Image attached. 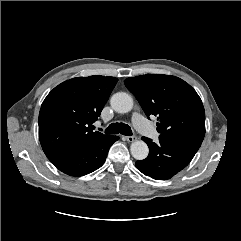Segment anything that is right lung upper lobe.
Here are the masks:
<instances>
[{
    "label": "right lung upper lobe",
    "instance_id": "cb5924a9",
    "mask_svg": "<svg viewBox=\"0 0 241 241\" xmlns=\"http://www.w3.org/2000/svg\"><path fill=\"white\" fill-rule=\"evenodd\" d=\"M118 79L76 77L55 87L39 113V140L48 159L84 148L108 135L92 131Z\"/></svg>",
    "mask_w": 241,
    "mask_h": 241
}]
</instances>
